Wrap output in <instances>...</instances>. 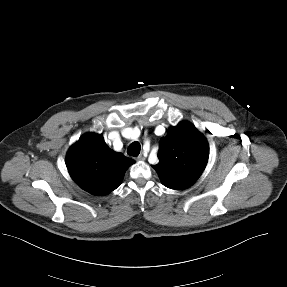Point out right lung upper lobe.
I'll return each instance as SVG.
<instances>
[{"mask_svg": "<svg viewBox=\"0 0 287 287\" xmlns=\"http://www.w3.org/2000/svg\"><path fill=\"white\" fill-rule=\"evenodd\" d=\"M133 159L111 150L101 134L87 133L73 144L66 156L72 179L93 195L115 190Z\"/></svg>", "mask_w": 287, "mask_h": 287, "instance_id": "1", "label": "right lung upper lobe"}]
</instances>
